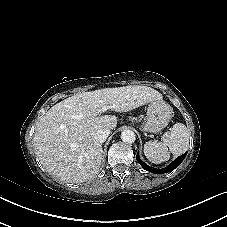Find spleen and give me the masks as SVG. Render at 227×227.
<instances>
[{"instance_id":"1","label":"spleen","mask_w":227,"mask_h":227,"mask_svg":"<svg viewBox=\"0 0 227 227\" xmlns=\"http://www.w3.org/2000/svg\"><path fill=\"white\" fill-rule=\"evenodd\" d=\"M189 131L183 123H176L165 132L162 142L148 141L144 144V154L146 158L154 163L168 161L170 153L180 155L188 150Z\"/></svg>"}]
</instances>
